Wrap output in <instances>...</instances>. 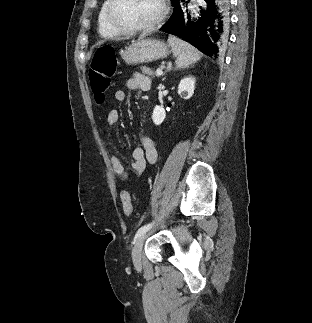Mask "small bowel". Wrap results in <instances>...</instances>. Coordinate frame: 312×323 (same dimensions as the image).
Listing matches in <instances>:
<instances>
[{"mask_svg": "<svg viewBox=\"0 0 312 323\" xmlns=\"http://www.w3.org/2000/svg\"><path fill=\"white\" fill-rule=\"evenodd\" d=\"M150 86L151 81L149 77L138 72L126 82V88L130 91H147L150 89ZM126 99L127 94L124 90H116L114 92V100L117 103H124ZM120 120V112L116 109L111 110L107 116V131L111 133ZM131 155L133 159L132 168L136 174H142L146 169L147 163L154 164L158 160V152L155 144L147 136H142L141 146L133 148ZM109 159L113 173L120 179L127 180L128 173L126 172L119 158L116 155L111 154Z\"/></svg>", "mask_w": 312, "mask_h": 323, "instance_id": "obj_1", "label": "small bowel"}]
</instances>
